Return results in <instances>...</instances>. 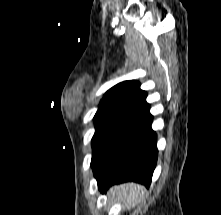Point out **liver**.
Returning a JSON list of instances; mask_svg holds the SVG:
<instances>
[{
    "mask_svg": "<svg viewBox=\"0 0 221 215\" xmlns=\"http://www.w3.org/2000/svg\"><path fill=\"white\" fill-rule=\"evenodd\" d=\"M145 189L142 185L136 183H125L111 187L108 196L109 198H115L118 202L122 203V207L125 210H131L135 207L140 200Z\"/></svg>",
    "mask_w": 221,
    "mask_h": 215,
    "instance_id": "6515ba94",
    "label": "liver"
}]
</instances>
